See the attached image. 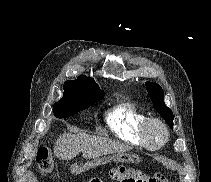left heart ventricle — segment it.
<instances>
[{
	"mask_svg": "<svg viewBox=\"0 0 211 182\" xmlns=\"http://www.w3.org/2000/svg\"><path fill=\"white\" fill-rule=\"evenodd\" d=\"M147 135L151 143L156 144L164 138V132L160 126L154 124L148 128Z\"/></svg>",
	"mask_w": 211,
	"mask_h": 182,
	"instance_id": "1",
	"label": "left heart ventricle"
}]
</instances>
